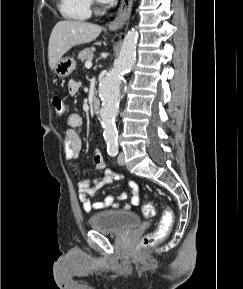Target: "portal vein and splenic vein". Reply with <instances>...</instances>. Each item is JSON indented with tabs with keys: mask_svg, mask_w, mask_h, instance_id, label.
<instances>
[{
	"mask_svg": "<svg viewBox=\"0 0 243 289\" xmlns=\"http://www.w3.org/2000/svg\"><path fill=\"white\" fill-rule=\"evenodd\" d=\"M85 67H86L87 69L91 68V67H92V62H91V61H86V62H85Z\"/></svg>",
	"mask_w": 243,
	"mask_h": 289,
	"instance_id": "1",
	"label": "portal vein and splenic vein"
}]
</instances>
